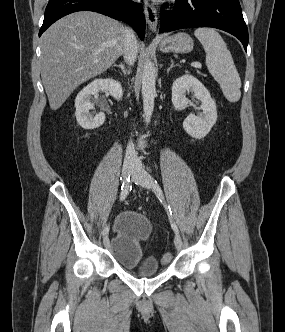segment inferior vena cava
<instances>
[{
  "label": "inferior vena cava",
  "mask_w": 285,
  "mask_h": 332,
  "mask_svg": "<svg viewBox=\"0 0 285 332\" xmlns=\"http://www.w3.org/2000/svg\"><path fill=\"white\" fill-rule=\"evenodd\" d=\"M138 52V43L134 34V31L131 28L125 29V42H124V59L130 65H133ZM137 153L132 142H129L127 145L124 162L126 164H134L137 162Z\"/></svg>",
  "instance_id": "1"
}]
</instances>
